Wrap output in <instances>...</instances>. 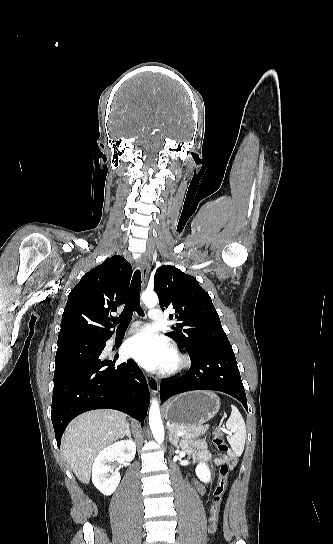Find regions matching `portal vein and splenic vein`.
<instances>
[{
	"label": "portal vein and splenic vein",
	"instance_id": "portal-vein-and-splenic-vein-1",
	"mask_svg": "<svg viewBox=\"0 0 333 544\" xmlns=\"http://www.w3.org/2000/svg\"><path fill=\"white\" fill-rule=\"evenodd\" d=\"M222 431L225 432V433H227V434H231V432H228V431H226L225 429H222ZM177 435H178V436H183L184 433H183V432H178Z\"/></svg>",
	"mask_w": 333,
	"mask_h": 544
}]
</instances>
